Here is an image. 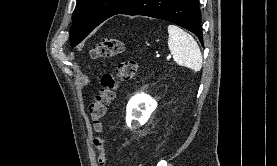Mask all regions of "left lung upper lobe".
<instances>
[{
	"mask_svg": "<svg viewBox=\"0 0 277 166\" xmlns=\"http://www.w3.org/2000/svg\"><path fill=\"white\" fill-rule=\"evenodd\" d=\"M133 0H77L70 28L72 47L80 43L95 27L115 15Z\"/></svg>",
	"mask_w": 277,
	"mask_h": 166,
	"instance_id": "obj_1",
	"label": "left lung upper lobe"
}]
</instances>
